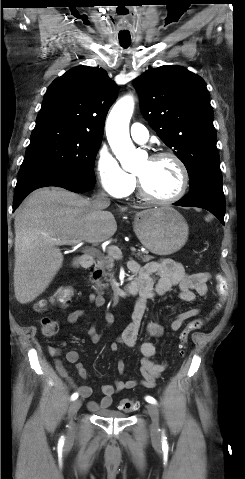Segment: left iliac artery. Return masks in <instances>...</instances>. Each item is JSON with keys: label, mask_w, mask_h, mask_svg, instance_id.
Instances as JSON below:
<instances>
[{"label": "left iliac artery", "mask_w": 245, "mask_h": 479, "mask_svg": "<svg viewBox=\"0 0 245 479\" xmlns=\"http://www.w3.org/2000/svg\"><path fill=\"white\" fill-rule=\"evenodd\" d=\"M145 400H146L147 402L151 403V404H157L156 400H155L153 397H151V396H146V397H145ZM163 438L166 439L165 436H164Z\"/></svg>", "instance_id": "1"}]
</instances>
